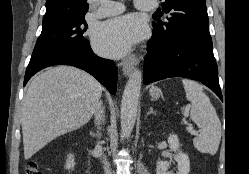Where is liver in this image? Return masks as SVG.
<instances>
[{"label":"liver","instance_id":"6515ba94","mask_svg":"<svg viewBox=\"0 0 249 174\" xmlns=\"http://www.w3.org/2000/svg\"><path fill=\"white\" fill-rule=\"evenodd\" d=\"M101 95V84L72 66L53 67L34 77L21 111L25 160L53 139L84 126Z\"/></svg>","mask_w":249,"mask_h":174}]
</instances>
